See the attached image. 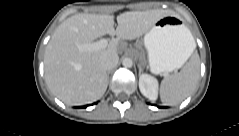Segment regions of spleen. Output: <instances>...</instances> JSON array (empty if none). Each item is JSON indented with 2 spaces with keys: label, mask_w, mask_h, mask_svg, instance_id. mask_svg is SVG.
<instances>
[{
  "label": "spleen",
  "mask_w": 239,
  "mask_h": 136,
  "mask_svg": "<svg viewBox=\"0 0 239 136\" xmlns=\"http://www.w3.org/2000/svg\"><path fill=\"white\" fill-rule=\"evenodd\" d=\"M191 46L193 52L196 47L193 37H191ZM199 75L200 60L197 55H194L179 73L166 76L162 80L160 86V99L162 103L164 105L181 103L195 90L199 81Z\"/></svg>",
  "instance_id": "spleen-1"
}]
</instances>
